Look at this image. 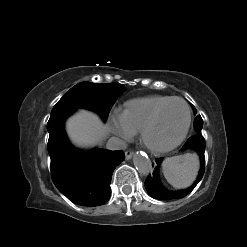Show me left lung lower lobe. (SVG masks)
<instances>
[{
	"mask_svg": "<svg viewBox=\"0 0 247 247\" xmlns=\"http://www.w3.org/2000/svg\"><path fill=\"white\" fill-rule=\"evenodd\" d=\"M182 149H190L195 151L201 163V169L199 171V176L197 180L193 183V185L187 189L179 190V191H169L164 188L159 180L158 176V167H156L153 171V174H150L145 181V187L150 196L155 199L161 200H171L183 198L188 195L198 184L204 174L205 170V140L202 135H194L190 137L187 142L184 144ZM162 162V158L156 159V163L159 165Z\"/></svg>",
	"mask_w": 247,
	"mask_h": 247,
	"instance_id": "1",
	"label": "left lung lower lobe"
}]
</instances>
